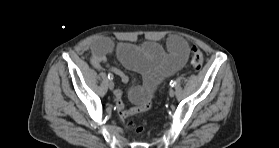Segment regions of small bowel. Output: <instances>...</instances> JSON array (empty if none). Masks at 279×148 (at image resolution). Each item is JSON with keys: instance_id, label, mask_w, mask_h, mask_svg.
<instances>
[{"instance_id": "c3829d8e", "label": "small bowel", "mask_w": 279, "mask_h": 148, "mask_svg": "<svg viewBox=\"0 0 279 148\" xmlns=\"http://www.w3.org/2000/svg\"><path fill=\"white\" fill-rule=\"evenodd\" d=\"M114 50L126 68L143 76V84L134 85L128 91V97L136 105L135 107L126 109L120 100V93H116L118 114L120 118L125 119L148 108L156 87L186 64L189 46L184 38L177 35H172L167 40L168 54L159 44L153 42L140 47L126 43L115 47L108 37L95 39L91 45L92 65L98 70L108 67L123 83H126L128 76L122 70L106 64L107 56Z\"/></svg>"}]
</instances>
